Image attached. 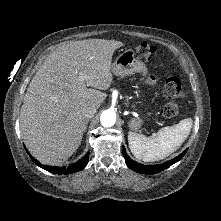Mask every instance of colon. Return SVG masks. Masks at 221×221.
<instances>
[{
	"instance_id": "obj_1",
	"label": "colon",
	"mask_w": 221,
	"mask_h": 221,
	"mask_svg": "<svg viewBox=\"0 0 221 221\" xmlns=\"http://www.w3.org/2000/svg\"><path fill=\"white\" fill-rule=\"evenodd\" d=\"M137 55L145 60H149L155 53L154 46L143 42L135 47ZM163 91L168 101L162 108V114L166 118L174 117L178 112L177 101L185 96V91L181 81L177 77H169L166 79Z\"/></svg>"
}]
</instances>
